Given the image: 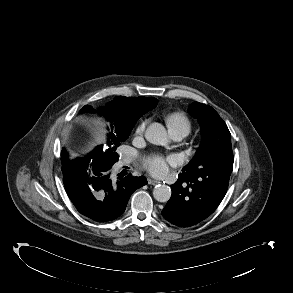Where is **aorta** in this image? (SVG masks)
Listing matches in <instances>:
<instances>
[{
  "label": "aorta",
  "instance_id": "aorta-1",
  "mask_svg": "<svg viewBox=\"0 0 293 293\" xmlns=\"http://www.w3.org/2000/svg\"><path fill=\"white\" fill-rule=\"evenodd\" d=\"M145 138L155 145L165 146L168 143V135L165 127L157 122L147 127ZM153 196L158 202H167L171 197V189L166 185H157L153 189Z\"/></svg>",
  "mask_w": 293,
  "mask_h": 293
}]
</instances>
